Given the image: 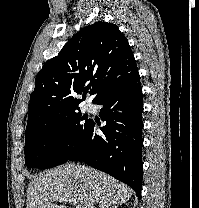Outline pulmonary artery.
<instances>
[{
    "label": "pulmonary artery",
    "instance_id": "e3ab8cb5",
    "mask_svg": "<svg viewBox=\"0 0 199 208\" xmlns=\"http://www.w3.org/2000/svg\"><path fill=\"white\" fill-rule=\"evenodd\" d=\"M92 108V105L91 104H85V109L86 110H90Z\"/></svg>",
    "mask_w": 199,
    "mask_h": 208
}]
</instances>
